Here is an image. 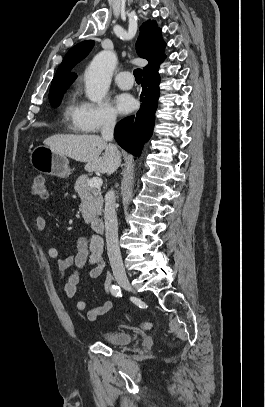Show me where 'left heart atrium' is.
Wrapping results in <instances>:
<instances>
[{
	"mask_svg": "<svg viewBox=\"0 0 265 407\" xmlns=\"http://www.w3.org/2000/svg\"><path fill=\"white\" fill-rule=\"evenodd\" d=\"M115 105L120 113L126 114L134 110L136 102L134 98L128 94H119L115 98Z\"/></svg>",
	"mask_w": 265,
	"mask_h": 407,
	"instance_id": "obj_1",
	"label": "left heart atrium"
}]
</instances>
